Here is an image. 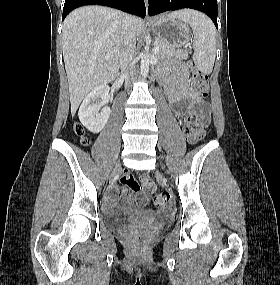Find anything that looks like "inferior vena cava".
I'll return each instance as SVG.
<instances>
[{"label": "inferior vena cava", "mask_w": 280, "mask_h": 285, "mask_svg": "<svg viewBox=\"0 0 280 285\" xmlns=\"http://www.w3.org/2000/svg\"><path fill=\"white\" fill-rule=\"evenodd\" d=\"M133 17L126 15L124 19L123 28V46L120 52L119 63L122 72L126 76V80L131 75L133 76L136 71V65L134 60L135 48H136V33L133 26Z\"/></svg>", "instance_id": "inferior-vena-cava-1"}]
</instances>
